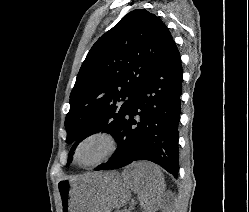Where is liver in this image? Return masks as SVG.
<instances>
[{"mask_svg": "<svg viewBox=\"0 0 249 212\" xmlns=\"http://www.w3.org/2000/svg\"><path fill=\"white\" fill-rule=\"evenodd\" d=\"M99 184L104 194L106 212H111L112 208L125 206L131 200V192L137 194L141 208L153 212L165 188L160 168L149 162H133L124 168L122 174L105 172L100 176Z\"/></svg>", "mask_w": 249, "mask_h": 212, "instance_id": "1", "label": "liver"}]
</instances>
